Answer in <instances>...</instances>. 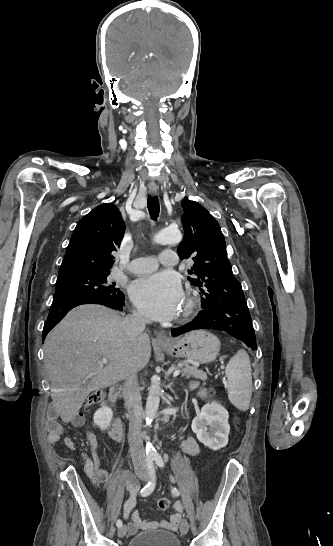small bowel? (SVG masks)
I'll use <instances>...</instances> for the list:
<instances>
[{"label": "small bowel", "mask_w": 333, "mask_h": 546, "mask_svg": "<svg viewBox=\"0 0 333 546\" xmlns=\"http://www.w3.org/2000/svg\"><path fill=\"white\" fill-rule=\"evenodd\" d=\"M192 390H196L197 394L201 397L204 396L205 391L199 386L198 382H192L190 385ZM83 416L79 415L74 420L73 423L77 426H80L83 423ZM48 428V440L53 445H58L61 441L63 444L70 450H75L74 442L64 434L61 425L56 419H51L47 425ZM87 438L91 447V456L83 455L85 471L87 475L95 482H100L103 478L106 477L107 472L102 466L99 454H98V444L96 435L93 432H87ZM183 450L189 455H197L200 452V446L197 441L188 437L182 441ZM108 493L110 496H114V489L111 485L108 486ZM136 501L134 498H130L124 504V518L131 517L132 521L128 524V531L130 534L136 533L140 528L145 526L160 525L161 527L175 531L178 529L181 522V512L183 510L182 504L178 501L174 504V514L170 516L168 521H162L160 523L155 522H146L141 519L139 513L134 510Z\"/></svg>", "instance_id": "small-bowel-1"}]
</instances>
